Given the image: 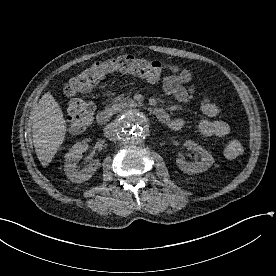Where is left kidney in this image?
I'll return each mask as SVG.
<instances>
[{
	"mask_svg": "<svg viewBox=\"0 0 276 276\" xmlns=\"http://www.w3.org/2000/svg\"><path fill=\"white\" fill-rule=\"evenodd\" d=\"M184 146L200 155L199 162H186L182 158H177L176 163L181 171L187 174H196L208 170L214 163V158L206 149L195 142L188 140Z\"/></svg>",
	"mask_w": 276,
	"mask_h": 276,
	"instance_id": "1",
	"label": "left kidney"
}]
</instances>
